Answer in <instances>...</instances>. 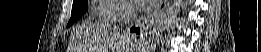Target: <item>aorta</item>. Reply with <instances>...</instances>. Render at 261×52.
<instances>
[{
  "mask_svg": "<svg viewBox=\"0 0 261 52\" xmlns=\"http://www.w3.org/2000/svg\"><path fill=\"white\" fill-rule=\"evenodd\" d=\"M182 5L183 0H174L173 3L155 19L153 26L150 28V40H152V43L175 20Z\"/></svg>",
  "mask_w": 261,
  "mask_h": 52,
  "instance_id": "aorta-1",
  "label": "aorta"
}]
</instances>
